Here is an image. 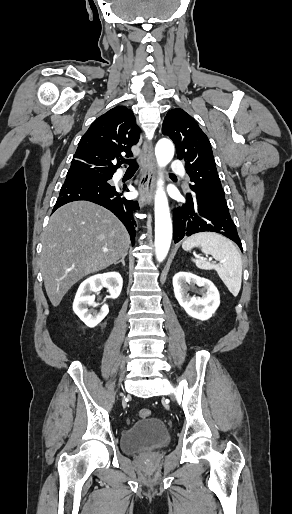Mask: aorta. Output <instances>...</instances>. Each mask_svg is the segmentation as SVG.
I'll list each match as a JSON object with an SVG mask.
<instances>
[{
    "mask_svg": "<svg viewBox=\"0 0 292 514\" xmlns=\"http://www.w3.org/2000/svg\"><path fill=\"white\" fill-rule=\"evenodd\" d=\"M155 156L159 168H165L174 156V144L170 140H159L155 148ZM164 182L159 178L155 196V252L158 262L165 260L171 240L172 222L170 218L167 196L164 192Z\"/></svg>",
    "mask_w": 292,
    "mask_h": 514,
    "instance_id": "aorta-1",
    "label": "aorta"
}]
</instances>
